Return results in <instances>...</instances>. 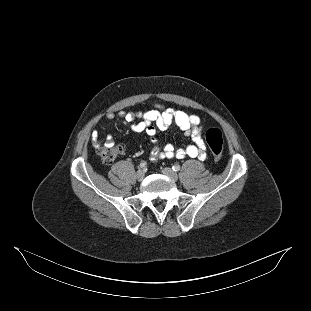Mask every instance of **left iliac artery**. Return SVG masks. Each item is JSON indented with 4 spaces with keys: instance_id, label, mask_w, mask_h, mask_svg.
<instances>
[{
    "instance_id": "left-iliac-artery-1",
    "label": "left iliac artery",
    "mask_w": 311,
    "mask_h": 311,
    "mask_svg": "<svg viewBox=\"0 0 311 311\" xmlns=\"http://www.w3.org/2000/svg\"><path fill=\"white\" fill-rule=\"evenodd\" d=\"M172 169H173V171L177 172V171L180 170V166L175 164V165L172 166Z\"/></svg>"
}]
</instances>
